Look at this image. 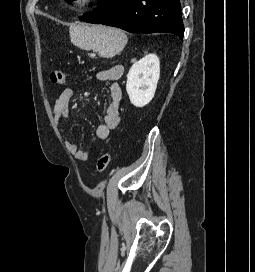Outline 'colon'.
I'll list each match as a JSON object with an SVG mask.
<instances>
[{"label":"colon","mask_w":255,"mask_h":272,"mask_svg":"<svg viewBox=\"0 0 255 272\" xmlns=\"http://www.w3.org/2000/svg\"><path fill=\"white\" fill-rule=\"evenodd\" d=\"M50 79L53 84L64 85L66 83V76L60 69H53L50 73ZM111 154L109 152L103 153L97 160L96 170L103 173L109 166Z\"/></svg>","instance_id":"5ec220e1"}]
</instances>
